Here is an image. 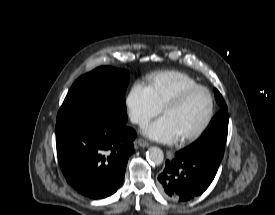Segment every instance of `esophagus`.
Wrapping results in <instances>:
<instances>
[{
  "label": "esophagus",
  "mask_w": 275,
  "mask_h": 215,
  "mask_svg": "<svg viewBox=\"0 0 275 215\" xmlns=\"http://www.w3.org/2000/svg\"><path fill=\"white\" fill-rule=\"evenodd\" d=\"M136 143L140 146V147H148L149 143L147 141H145L142 138H139Z\"/></svg>",
  "instance_id": "1"
}]
</instances>
